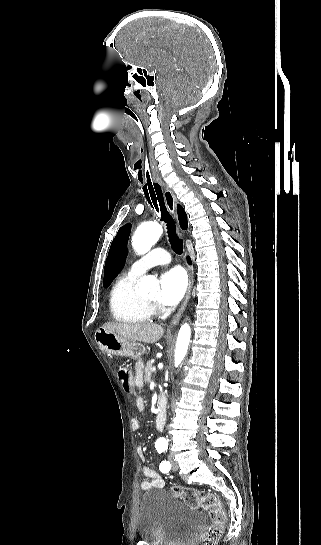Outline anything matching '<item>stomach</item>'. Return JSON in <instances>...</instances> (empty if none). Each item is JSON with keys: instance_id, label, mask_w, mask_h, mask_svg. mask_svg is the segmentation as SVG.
<instances>
[{"instance_id": "1", "label": "stomach", "mask_w": 321, "mask_h": 545, "mask_svg": "<svg viewBox=\"0 0 321 545\" xmlns=\"http://www.w3.org/2000/svg\"><path fill=\"white\" fill-rule=\"evenodd\" d=\"M95 341L102 353L107 355H118V357H130V359H139L140 355L145 353L144 347L124 337H118L115 333H109L107 329H97Z\"/></svg>"}]
</instances>
